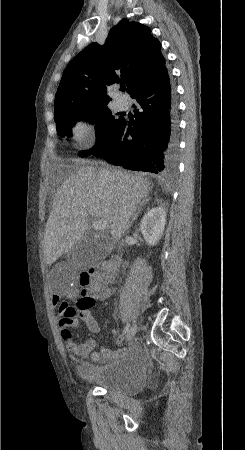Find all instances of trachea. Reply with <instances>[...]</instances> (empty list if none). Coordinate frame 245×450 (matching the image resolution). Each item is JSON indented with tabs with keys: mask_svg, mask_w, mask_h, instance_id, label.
Masks as SVG:
<instances>
[{
	"mask_svg": "<svg viewBox=\"0 0 245 450\" xmlns=\"http://www.w3.org/2000/svg\"><path fill=\"white\" fill-rule=\"evenodd\" d=\"M125 90H126L125 86H121V91H125Z\"/></svg>",
	"mask_w": 245,
	"mask_h": 450,
	"instance_id": "3493384b",
	"label": "trachea"
}]
</instances>
